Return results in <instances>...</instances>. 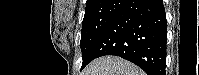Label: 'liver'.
Wrapping results in <instances>:
<instances>
[{"label":"liver","instance_id":"obj_1","mask_svg":"<svg viewBox=\"0 0 199 75\" xmlns=\"http://www.w3.org/2000/svg\"><path fill=\"white\" fill-rule=\"evenodd\" d=\"M81 75H145L132 64L116 56H104L93 60Z\"/></svg>","mask_w":199,"mask_h":75}]
</instances>
